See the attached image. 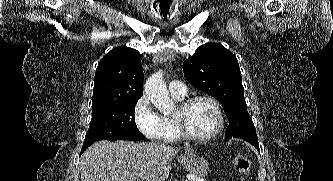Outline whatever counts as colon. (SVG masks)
Listing matches in <instances>:
<instances>
[{"instance_id":"1","label":"colon","mask_w":333,"mask_h":181,"mask_svg":"<svg viewBox=\"0 0 333 181\" xmlns=\"http://www.w3.org/2000/svg\"><path fill=\"white\" fill-rule=\"evenodd\" d=\"M235 171L241 176L242 181H248L250 173V160L247 156L236 155L232 158Z\"/></svg>"}]
</instances>
